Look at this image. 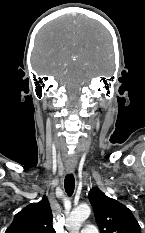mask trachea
Returning <instances> with one entry per match:
<instances>
[{
    "instance_id": "trachea-1",
    "label": "trachea",
    "mask_w": 145,
    "mask_h": 233,
    "mask_svg": "<svg viewBox=\"0 0 145 233\" xmlns=\"http://www.w3.org/2000/svg\"><path fill=\"white\" fill-rule=\"evenodd\" d=\"M74 187H75V179H74V176L72 174H68L66 177H65V180H64V188H65V191L66 193L71 196L74 192Z\"/></svg>"
}]
</instances>
